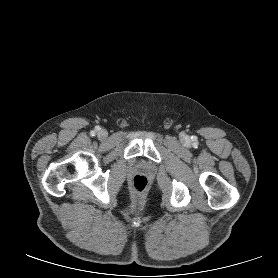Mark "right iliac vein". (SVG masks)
<instances>
[{"mask_svg":"<svg viewBox=\"0 0 278 278\" xmlns=\"http://www.w3.org/2000/svg\"><path fill=\"white\" fill-rule=\"evenodd\" d=\"M108 136V133L105 129H102L98 132V137L101 139H105Z\"/></svg>","mask_w":278,"mask_h":278,"instance_id":"1","label":"right iliac vein"}]
</instances>
